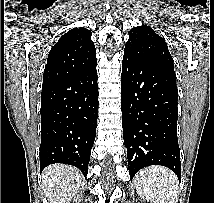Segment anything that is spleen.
Segmentation results:
<instances>
[{"mask_svg": "<svg viewBox=\"0 0 214 203\" xmlns=\"http://www.w3.org/2000/svg\"><path fill=\"white\" fill-rule=\"evenodd\" d=\"M137 194L151 203H176L178 179L168 168L151 166L134 179Z\"/></svg>", "mask_w": 214, "mask_h": 203, "instance_id": "1", "label": "spleen"}]
</instances>
